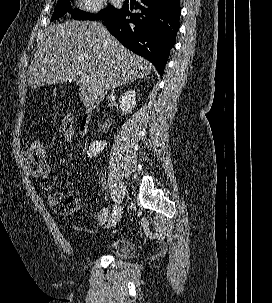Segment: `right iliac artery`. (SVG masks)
Returning <instances> with one entry per match:
<instances>
[{
  "label": "right iliac artery",
  "mask_w": 272,
  "mask_h": 303,
  "mask_svg": "<svg viewBox=\"0 0 272 303\" xmlns=\"http://www.w3.org/2000/svg\"><path fill=\"white\" fill-rule=\"evenodd\" d=\"M111 215H112V217H113V215H117V205L112 206Z\"/></svg>",
  "instance_id": "obj_1"
}]
</instances>
